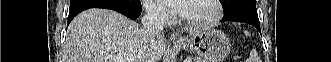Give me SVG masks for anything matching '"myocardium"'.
I'll use <instances>...</instances> for the list:
<instances>
[{
    "label": "myocardium",
    "instance_id": "obj_1",
    "mask_svg": "<svg viewBox=\"0 0 331 62\" xmlns=\"http://www.w3.org/2000/svg\"><path fill=\"white\" fill-rule=\"evenodd\" d=\"M211 3L214 13L211 18L206 21L191 22L182 18V24L191 30L208 29L215 26L223 17V9L219 0H207Z\"/></svg>",
    "mask_w": 331,
    "mask_h": 62
}]
</instances>
